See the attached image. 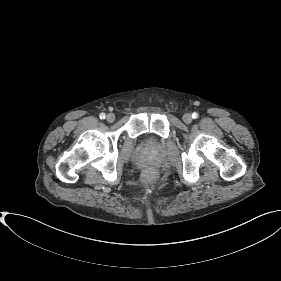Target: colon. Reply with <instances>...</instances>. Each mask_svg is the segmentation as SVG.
I'll use <instances>...</instances> for the list:
<instances>
[{
  "mask_svg": "<svg viewBox=\"0 0 281 281\" xmlns=\"http://www.w3.org/2000/svg\"><path fill=\"white\" fill-rule=\"evenodd\" d=\"M155 178H156V173L152 169L145 171L143 174V181L146 183L153 182L155 180Z\"/></svg>",
  "mask_w": 281,
  "mask_h": 281,
  "instance_id": "5ec220e1",
  "label": "colon"
}]
</instances>
